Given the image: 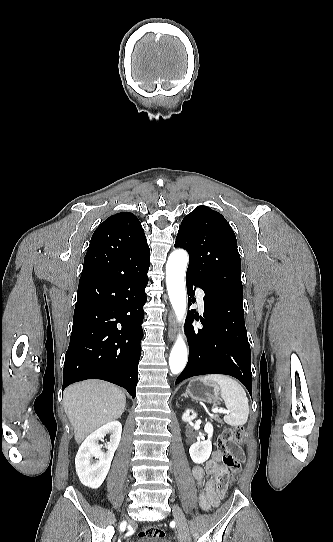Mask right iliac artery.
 <instances>
[{
    "mask_svg": "<svg viewBox=\"0 0 333 542\" xmlns=\"http://www.w3.org/2000/svg\"><path fill=\"white\" fill-rule=\"evenodd\" d=\"M125 527H126V523L125 522L121 523V525H120L121 531H124Z\"/></svg>",
    "mask_w": 333,
    "mask_h": 542,
    "instance_id": "82829eb1",
    "label": "right iliac artery"
}]
</instances>
